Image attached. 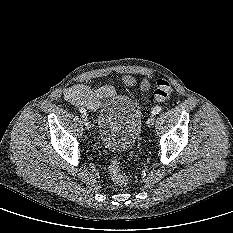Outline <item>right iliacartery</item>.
I'll list each match as a JSON object with an SVG mask.
<instances>
[{
  "label": "right iliac artery",
  "instance_id": "obj_1",
  "mask_svg": "<svg viewBox=\"0 0 233 233\" xmlns=\"http://www.w3.org/2000/svg\"><path fill=\"white\" fill-rule=\"evenodd\" d=\"M79 112L83 115V117L86 116V110L84 108H79Z\"/></svg>",
  "mask_w": 233,
  "mask_h": 233
}]
</instances>
